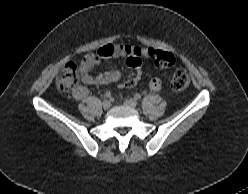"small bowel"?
<instances>
[{"mask_svg": "<svg viewBox=\"0 0 248 194\" xmlns=\"http://www.w3.org/2000/svg\"><path fill=\"white\" fill-rule=\"evenodd\" d=\"M155 52L156 51L152 48H142L138 45L107 44L101 47L97 53L85 55L80 61V75L83 84L77 85L73 89V97L76 100H83L89 93L87 85L112 84L121 78V72L118 69L106 71L95 77L92 76L90 72L100 60L111 57L128 56V66L137 71L140 67V57H154ZM137 82H131L127 89L133 88ZM149 87L154 92H161L163 90V84L159 78L152 79Z\"/></svg>", "mask_w": 248, "mask_h": 194, "instance_id": "1", "label": "small bowel"}]
</instances>
